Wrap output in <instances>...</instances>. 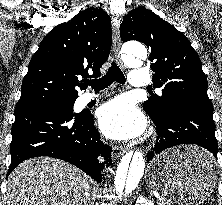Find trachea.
Segmentation results:
<instances>
[{
    "mask_svg": "<svg viewBox=\"0 0 222 205\" xmlns=\"http://www.w3.org/2000/svg\"><path fill=\"white\" fill-rule=\"evenodd\" d=\"M114 81L124 84L126 79L119 66L113 61L106 75L98 80L89 81L88 84L94 90H102L110 86Z\"/></svg>",
    "mask_w": 222,
    "mask_h": 205,
    "instance_id": "trachea-1",
    "label": "trachea"
}]
</instances>
